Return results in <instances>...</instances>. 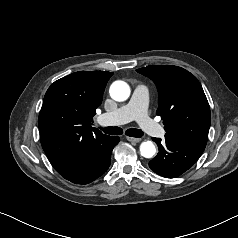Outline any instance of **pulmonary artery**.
Instances as JSON below:
<instances>
[{
	"label": "pulmonary artery",
	"instance_id": "e3ab8cb5",
	"mask_svg": "<svg viewBox=\"0 0 238 238\" xmlns=\"http://www.w3.org/2000/svg\"><path fill=\"white\" fill-rule=\"evenodd\" d=\"M148 96L149 89L145 85H136L130 100L116 110L100 115L99 123L102 125H117L135 120L149 135L154 137L162 136L164 133L163 128L148 116Z\"/></svg>",
	"mask_w": 238,
	"mask_h": 238
}]
</instances>
